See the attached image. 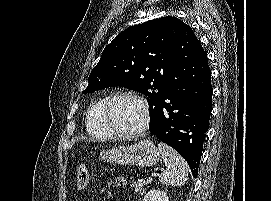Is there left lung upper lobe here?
I'll use <instances>...</instances> for the list:
<instances>
[{"instance_id":"obj_1","label":"left lung upper lobe","mask_w":271,"mask_h":201,"mask_svg":"<svg viewBox=\"0 0 271 201\" xmlns=\"http://www.w3.org/2000/svg\"><path fill=\"white\" fill-rule=\"evenodd\" d=\"M176 17H162L122 31L102 52L83 93L122 86L148 96L150 125L158 116L182 29Z\"/></svg>"}]
</instances>
